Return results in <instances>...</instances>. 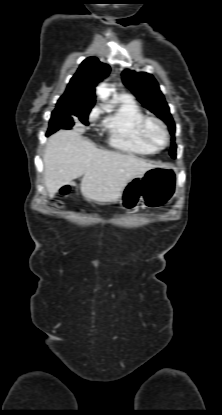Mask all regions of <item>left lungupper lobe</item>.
Returning <instances> with one entry per match:
<instances>
[{"label": "left lung upper lobe", "mask_w": 222, "mask_h": 415, "mask_svg": "<svg viewBox=\"0 0 222 415\" xmlns=\"http://www.w3.org/2000/svg\"><path fill=\"white\" fill-rule=\"evenodd\" d=\"M122 79L123 83L134 93L138 100L169 126V131L173 136L170 155L175 158V124L155 78L145 72L137 73L135 71L125 70L122 73Z\"/></svg>", "instance_id": "5c2ea615"}]
</instances>
